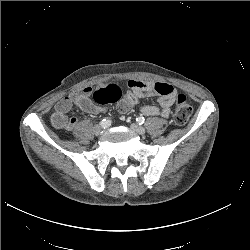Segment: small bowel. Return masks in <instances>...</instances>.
<instances>
[{"label": "small bowel", "mask_w": 250, "mask_h": 250, "mask_svg": "<svg viewBox=\"0 0 250 250\" xmlns=\"http://www.w3.org/2000/svg\"><path fill=\"white\" fill-rule=\"evenodd\" d=\"M129 88L138 94L139 97L146 95H158L159 106L145 105L141 108L142 114L146 116L160 115L167 118L170 115L171 107L175 102L177 91L165 82H147L141 80H130ZM91 87H85L81 90L63 97L55 105V111L51 116V123L57 129L71 131L77 125V118L67 116L73 106H77L83 112L89 114H99L104 112V108L96 105L91 99Z\"/></svg>", "instance_id": "obj_1"}]
</instances>
